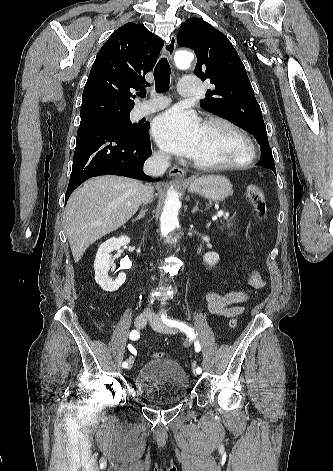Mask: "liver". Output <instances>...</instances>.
Listing matches in <instances>:
<instances>
[{
    "label": "liver",
    "instance_id": "liver-1",
    "mask_svg": "<svg viewBox=\"0 0 333 471\" xmlns=\"http://www.w3.org/2000/svg\"><path fill=\"white\" fill-rule=\"evenodd\" d=\"M144 185L121 176L89 179L68 200L65 231L78 262L96 240L124 225L142 202Z\"/></svg>",
    "mask_w": 333,
    "mask_h": 471
}]
</instances>
